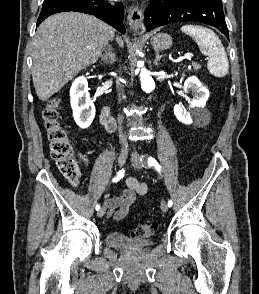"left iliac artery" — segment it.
Wrapping results in <instances>:
<instances>
[{
    "label": "left iliac artery",
    "mask_w": 259,
    "mask_h": 294,
    "mask_svg": "<svg viewBox=\"0 0 259 294\" xmlns=\"http://www.w3.org/2000/svg\"><path fill=\"white\" fill-rule=\"evenodd\" d=\"M143 159H141L142 161ZM147 163L149 166L155 167V169L160 173L161 172V167L159 163L153 158V157H148L147 158ZM173 205V202L171 200L168 201V207H171Z\"/></svg>",
    "instance_id": "44dca946"
}]
</instances>
